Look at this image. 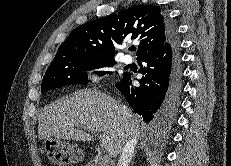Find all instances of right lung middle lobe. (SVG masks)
I'll use <instances>...</instances> for the list:
<instances>
[{"mask_svg": "<svg viewBox=\"0 0 231 166\" xmlns=\"http://www.w3.org/2000/svg\"><path fill=\"white\" fill-rule=\"evenodd\" d=\"M115 64L113 57H106L101 55H81L68 58H58L53 60L47 69L42 80L41 92L71 84H87L88 71ZM99 76L105 74H112V72L98 71Z\"/></svg>", "mask_w": 231, "mask_h": 166, "instance_id": "obj_1", "label": "right lung middle lobe"}]
</instances>
